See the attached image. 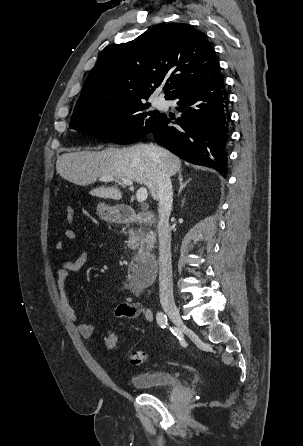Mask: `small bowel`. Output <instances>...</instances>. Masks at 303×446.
<instances>
[{"label": "small bowel", "mask_w": 303, "mask_h": 446, "mask_svg": "<svg viewBox=\"0 0 303 446\" xmlns=\"http://www.w3.org/2000/svg\"><path fill=\"white\" fill-rule=\"evenodd\" d=\"M64 237L68 241H74L77 237L76 232L73 229H66L64 231ZM57 250H63L65 248V242L60 240L55 244ZM90 259L88 251H84L79 254L74 260L62 261L60 268L57 271V287L59 293V301L63 309L64 314L68 320L73 323L78 333L82 338L89 340L93 336L94 326L91 324L79 322L77 314L70 303L67 291L66 280L70 272L80 270ZM131 296L125 297L124 301L118 304L114 308V316L119 319H134L142 317L148 322L154 320V314L142 304L136 302L134 297H138L141 294V289L136 287H129Z\"/></svg>", "instance_id": "1"}]
</instances>
